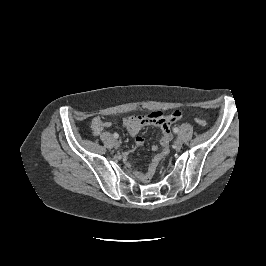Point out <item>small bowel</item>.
I'll return each instance as SVG.
<instances>
[{
    "label": "small bowel",
    "instance_id": "1",
    "mask_svg": "<svg viewBox=\"0 0 266 266\" xmlns=\"http://www.w3.org/2000/svg\"><path fill=\"white\" fill-rule=\"evenodd\" d=\"M181 115V112L176 109L167 113L154 111L147 114H134L123 119V126L130 135L135 136V143L137 146H141L143 144V138L138 136L143 127L148 125L157 126L162 132L159 146L154 147V150L157 153L153 157L148 168V171L145 175L146 178H148L154 172L158 162L167 155L169 144L172 139L171 126L180 119ZM109 125V122L104 121L100 117H95L91 122L92 133L97 136Z\"/></svg>",
    "mask_w": 266,
    "mask_h": 266
}]
</instances>
